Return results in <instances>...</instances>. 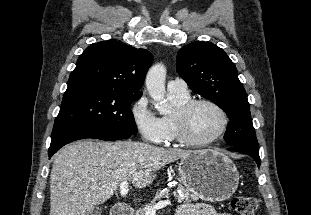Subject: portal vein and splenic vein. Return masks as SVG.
I'll return each instance as SVG.
<instances>
[{
  "label": "portal vein and splenic vein",
  "instance_id": "obj_1",
  "mask_svg": "<svg viewBox=\"0 0 311 215\" xmlns=\"http://www.w3.org/2000/svg\"><path fill=\"white\" fill-rule=\"evenodd\" d=\"M128 182L127 181H123L121 184H120V194L121 196H126L128 194ZM171 202L169 200H165V201H160L159 203L153 205V206H150L146 209V215H156V210L157 209H160V208H163V207H166L168 205H170Z\"/></svg>",
  "mask_w": 311,
  "mask_h": 215
}]
</instances>
